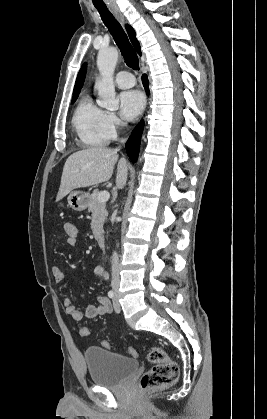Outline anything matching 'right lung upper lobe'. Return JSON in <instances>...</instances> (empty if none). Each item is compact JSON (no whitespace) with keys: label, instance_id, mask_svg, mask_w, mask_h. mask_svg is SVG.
Wrapping results in <instances>:
<instances>
[{"label":"right lung upper lobe","instance_id":"obj_1","mask_svg":"<svg viewBox=\"0 0 267 419\" xmlns=\"http://www.w3.org/2000/svg\"><path fill=\"white\" fill-rule=\"evenodd\" d=\"M126 30L128 32L129 38L135 48V50L138 52L139 55H141V51H140V45L139 42L136 39L135 36V31L133 30V28L129 25H126ZM86 66L87 64L84 63L78 73L77 79H76V83H75V87H74V91H73V96L75 95H79L80 90L83 86L84 83V79H85V74H86Z\"/></svg>","mask_w":267,"mask_h":419}]
</instances>
